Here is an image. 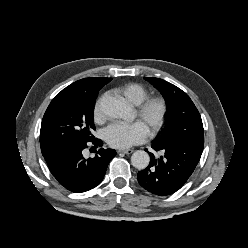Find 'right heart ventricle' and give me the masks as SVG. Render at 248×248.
<instances>
[{
  "label": "right heart ventricle",
  "instance_id": "obj_1",
  "mask_svg": "<svg viewBox=\"0 0 248 248\" xmlns=\"http://www.w3.org/2000/svg\"><path fill=\"white\" fill-rule=\"evenodd\" d=\"M128 102L138 105L140 104L148 95L147 89L138 83H128L117 89Z\"/></svg>",
  "mask_w": 248,
  "mask_h": 248
}]
</instances>
